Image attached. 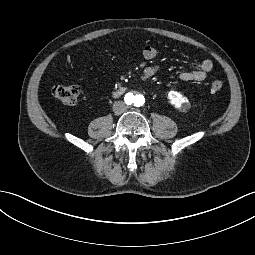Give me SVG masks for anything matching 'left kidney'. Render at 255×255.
Masks as SVG:
<instances>
[{
	"label": "left kidney",
	"mask_w": 255,
	"mask_h": 255,
	"mask_svg": "<svg viewBox=\"0 0 255 255\" xmlns=\"http://www.w3.org/2000/svg\"><path fill=\"white\" fill-rule=\"evenodd\" d=\"M170 103L178 109H184L188 106L187 98L183 97L179 92L170 91L168 93Z\"/></svg>",
	"instance_id": "obj_1"
}]
</instances>
